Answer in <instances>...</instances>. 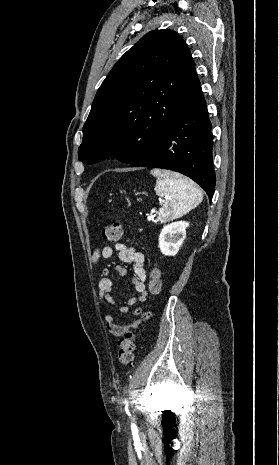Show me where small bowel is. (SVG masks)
<instances>
[{
  "mask_svg": "<svg viewBox=\"0 0 279 465\" xmlns=\"http://www.w3.org/2000/svg\"><path fill=\"white\" fill-rule=\"evenodd\" d=\"M115 251H118V256L121 261L126 263H132L133 266L134 276L132 278V285L138 296L130 298L125 305L120 307V312L127 313L130 310V308L136 305L138 302L145 301L147 299L145 285L147 273L144 268L145 257L143 253H141L133 247H128L123 243H115L113 246H103L95 249L91 257V262L93 264H96L100 258L110 260L114 257ZM115 270L121 276H124L127 273L126 269L122 266H117ZM112 287L113 281L110 277V269L105 268L103 269L102 277L98 282V297L100 300L109 305L116 304L115 300L111 296ZM142 311V308H137L134 311V314L138 316L142 313ZM104 323L107 331L111 335L115 337H121L124 336L126 333L137 329L141 324V319L136 318L132 319L131 321L125 324H117L115 322L114 317L112 315L107 314L104 316Z\"/></svg>",
  "mask_w": 279,
  "mask_h": 465,
  "instance_id": "1",
  "label": "small bowel"
}]
</instances>
